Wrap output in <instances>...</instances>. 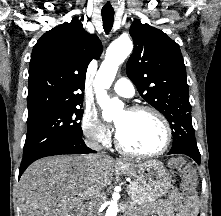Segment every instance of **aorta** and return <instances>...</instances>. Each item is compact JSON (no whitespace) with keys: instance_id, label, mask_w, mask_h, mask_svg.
I'll use <instances>...</instances> for the list:
<instances>
[{"instance_id":"obj_1","label":"aorta","mask_w":221,"mask_h":216,"mask_svg":"<svg viewBox=\"0 0 221 216\" xmlns=\"http://www.w3.org/2000/svg\"><path fill=\"white\" fill-rule=\"evenodd\" d=\"M133 49V43L129 37H119L115 39L107 49L105 60L102 62L94 80L96 99L102 108L104 120H112L123 109V103L118 99H110L107 95L108 89L117 74L118 67L130 55ZM120 196L114 194L105 216H117L118 200Z\"/></svg>"}]
</instances>
